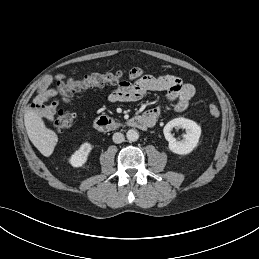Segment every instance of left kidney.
Segmentation results:
<instances>
[{
  "mask_svg": "<svg viewBox=\"0 0 259 259\" xmlns=\"http://www.w3.org/2000/svg\"><path fill=\"white\" fill-rule=\"evenodd\" d=\"M174 127L185 129L186 134H184L183 140L177 141L173 137L171 131ZM163 133L169 143L170 151L179 155H187L198 145L201 127L193 120L179 117L169 121L163 129Z\"/></svg>",
  "mask_w": 259,
  "mask_h": 259,
  "instance_id": "obj_1",
  "label": "left kidney"
}]
</instances>
